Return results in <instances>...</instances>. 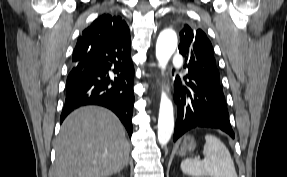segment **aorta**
Masks as SVG:
<instances>
[{
  "instance_id": "obj_1",
  "label": "aorta",
  "mask_w": 287,
  "mask_h": 177,
  "mask_svg": "<svg viewBox=\"0 0 287 177\" xmlns=\"http://www.w3.org/2000/svg\"><path fill=\"white\" fill-rule=\"evenodd\" d=\"M177 35L171 29L163 30L156 43V58L162 70H165L177 47ZM174 130L173 104L165 92H162L158 117V142L166 145Z\"/></svg>"
}]
</instances>
